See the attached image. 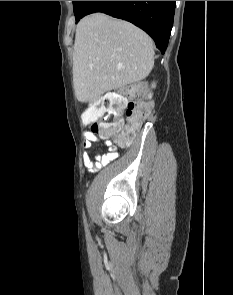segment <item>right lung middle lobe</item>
<instances>
[{"label": "right lung middle lobe", "instance_id": "right-lung-middle-lobe-1", "mask_svg": "<svg viewBox=\"0 0 233 295\" xmlns=\"http://www.w3.org/2000/svg\"><path fill=\"white\" fill-rule=\"evenodd\" d=\"M88 1H73L74 6V14L76 17V23L81 19L83 10L85 8V5Z\"/></svg>", "mask_w": 233, "mask_h": 295}]
</instances>
